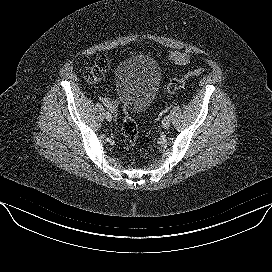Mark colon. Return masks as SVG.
<instances>
[{"label":"colon","instance_id":"5ec220e1","mask_svg":"<svg viewBox=\"0 0 272 272\" xmlns=\"http://www.w3.org/2000/svg\"><path fill=\"white\" fill-rule=\"evenodd\" d=\"M111 61L108 57L102 56L97 59L94 66L86 69L84 71V79L89 83H96L101 80L106 73L109 71ZM204 68H197L188 71L184 76L180 78L172 79L166 86L167 93H174L178 89H181L185 86L188 79L196 77L204 73ZM122 134L131 149H137L139 146L138 140V127L136 122L128 114L127 111L124 112V119L122 123Z\"/></svg>","mask_w":272,"mask_h":272}]
</instances>
